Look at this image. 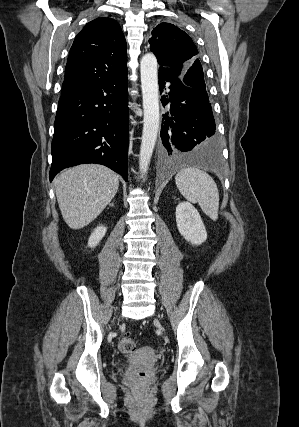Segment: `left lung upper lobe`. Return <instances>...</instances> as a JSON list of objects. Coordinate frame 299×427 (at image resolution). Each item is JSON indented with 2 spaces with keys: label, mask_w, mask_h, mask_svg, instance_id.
<instances>
[{
  "label": "left lung upper lobe",
  "mask_w": 299,
  "mask_h": 427,
  "mask_svg": "<svg viewBox=\"0 0 299 427\" xmlns=\"http://www.w3.org/2000/svg\"><path fill=\"white\" fill-rule=\"evenodd\" d=\"M150 49L159 65L183 67L182 80L192 88L206 91L198 50L187 33L170 23H160L152 31Z\"/></svg>",
  "instance_id": "5c2ea615"
}]
</instances>
